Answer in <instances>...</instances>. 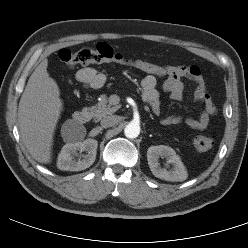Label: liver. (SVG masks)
<instances>
[{
  "label": "liver",
  "instance_id": "obj_1",
  "mask_svg": "<svg viewBox=\"0 0 248 248\" xmlns=\"http://www.w3.org/2000/svg\"><path fill=\"white\" fill-rule=\"evenodd\" d=\"M44 59L31 74L18 107L21 138L39 163L51 162L53 136L63 109L60 90Z\"/></svg>",
  "mask_w": 248,
  "mask_h": 248
}]
</instances>
